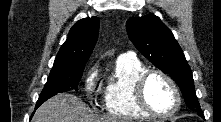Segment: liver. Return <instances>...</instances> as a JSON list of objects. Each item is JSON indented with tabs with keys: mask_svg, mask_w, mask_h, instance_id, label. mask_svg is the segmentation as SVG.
Here are the masks:
<instances>
[{
	"mask_svg": "<svg viewBox=\"0 0 221 122\" xmlns=\"http://www.w3.org/2000/svg\"><path fill=\"white\" fill-rule=\"evenodd\" d=\"M32 122H132L120 117H100L88 111L85 103L72 94H58L36 111Z\"/></svg>",
	"mask_w": 221,
	"mask_h": 122,
	"instance_id": "obj_1",
	"label": "liver"
}]
</instances>
